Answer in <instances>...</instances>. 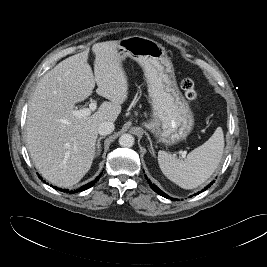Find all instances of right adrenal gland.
Here are the masks:
<instances>
[{
	"label": "right adrenal gland",
	"instance_id": "1",
	"mask_svg": "<svg viewBox=\"0 0 267 267\" xmlns=\"http://www.w3.org/2000/svg\"><path fill=\"white\" fill-rule=\"evenodd\" d=\"M105 138V136H100L97 140V143H96V156H99L100 155V152H101V144H100V141Z\"/></svg>",
	"mask_w": 267,
	"mask_h": 267
}]
</instances>
